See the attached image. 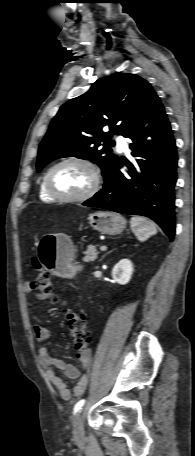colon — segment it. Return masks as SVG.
<instances>
[{
    "label": "colon",
    "mask_w": 195,
    "mask_h": 456,
    "mask_svg": "<svg viewBox=\"0 0 195 456\" xmlns=\"http://www.w3.org/2000/svg\"><path fill=\"white\" fill-rule=\"evenodd\" d=\"M33 264L38 270V274L31 283L32 288L44 294L52 293L53 284L49 273L41 268L38 261L34 260ZM65 314L70 330L72 345L81 359L86 355L90 343V334L86 319L83 314L77 313L70 308L65 309Z\"/></svg>",
    "instance_id": "obj_1"
}]
</instances>
